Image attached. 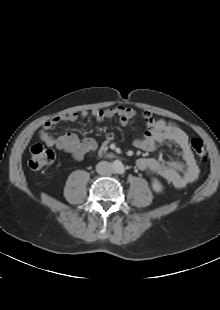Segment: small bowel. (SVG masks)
I'll return each instance as SVG.
<instances>
[{
    "instance_id": "c3829d8e",
    "label": "small bowel",
    "mask_w": 220,
    "mask_h": 310,
    "mask_svg": "<svg viewBox=\"0 0 220 310\" xmlns=\"http://www.w3.org/2000/svg\"><path fill=\"white\" fill-rule=\"evenodd\" d=\"M137 114L135 109L126 106L96 109L92 112V116L98 121L116 119L121 125L128 124ZM87 115L86 111H80L54 116L40 129V140L48 146L68 153L73 160L81 161L84 157L96 152L99 146L98 142L88 136L80 138L75 133L56 136L54 130L61 122L76 121L79 118L87 117ZM142 116L147 128L143 136L136 141L137 147L145 151H152L156 143L170 142L179 148L181 160L162 162L155 158L145 157L137 161L138 168L160 175L176 188H185L194 183L199 177V167L187 133L173 122L155 118L149 111H143ZM113 139V133H108L106 140L110 142Z\"/></svg>"
}]
</instances>
